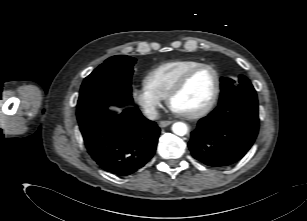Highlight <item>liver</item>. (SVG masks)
I'll return each mask as SVG.
<instances>
[{"label":"liver","instance_id":"1","mask_svg":"<svg viewBox=\"0 0 307 221\" xmlns=\"http://www.w3.org/2000/svg\"><path fill=\"white\" fill-rule=\"evenodd\" d=\"M111 109L116 110V111H118V112H120V111H121V109L116 108V107H112Z\"/></svg>","mask_w":307,"mask_h":221}]
</instances>
